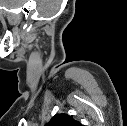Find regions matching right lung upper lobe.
<instances>
[{"instance_id": "right-lung-upper-lobe-1", "label": "right lung upper lobe", "mask_w": 127, "mask_h": 126, "mask_svg": "<svg viewBox=\"0 0 127 126\" xmlns=\"http://www.w3.org/2000/svg\"><path fill=\"white\" fill-rule=\"evenodd\" d=\"M45 126H82V124L67 114H56Z\"/></svg>"}]
</instances>
